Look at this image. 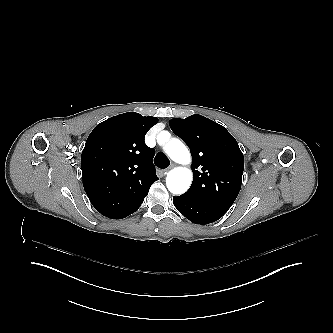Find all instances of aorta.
<instances>
[{
    "mask_svg": "<svg viewBox=\"0 0 333 333\" xmlns=\"http://www.w3.org/2000/svg\"><path fill=\"white\" fill-rule=\"evenodd\" d=\"M165 151L174 162L188 164L191 162L190 152L178 139L170 140ZM175 173L168 172L166 178L167 188L174 194L185 193L192 183V172L190 169L178 167Z\"/></svg>",
    "mask_w": 333,
    "mask_h": 333,
    "instance_id": "1",
    "label": "aorta"
}]
</instances>
